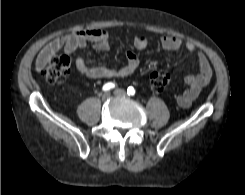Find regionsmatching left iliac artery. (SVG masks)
Segmentation results:
<instances>
[{"instance_id": "44dca946", "label": "left iliac artery", "mask_w": 245, "mask_h": 195, "mask_svg": "<svg viewBox=\"0 0 245 195\" xmlns=\"http://www.w3.org/2000/svg\"><path fill=\"white\" fill-rule=\"evenodd\" d=\"M127 94L133 96L135 94V89L133 87H128Z\"/></svg>"}]
</instances>
